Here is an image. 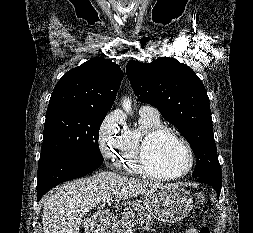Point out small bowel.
<instances>
[{"label":"small bowel","mask_w":253,"mask_h":233,"mask_svg":"<svg viewBox=\"0 0 253 233\" xmlns=\"http://www.w3.org/2000/svg\"><path fill=\"white\" fill-rule=\"evenodd\" d=\"M185 233H198L195 229H188Z\"/></svg>","instance_id":"c3829d8e"}]
</instances>
